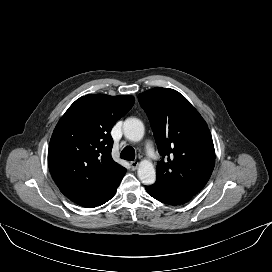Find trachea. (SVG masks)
<instances>
[{
    "mask_svg": "<svg viewBox=\"0 0 272 272\" xmlns=\"http://www.w3.org/2000/svg\"><path fill=\"white\" fill-rule=\"evenodd\" d=\"M120 157L125 160H134L135 159V150L131 146H126L120 154Z\"/></svg>",
    "mask_w": 272,
    "mask_h": 272,
    "instance_id": "trachea-1",
    "label": "trachea"
}]
</instances>
